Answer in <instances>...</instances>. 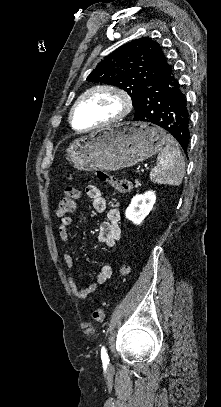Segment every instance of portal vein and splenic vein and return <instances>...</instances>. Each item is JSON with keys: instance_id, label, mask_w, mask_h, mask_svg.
I'll return each instance as SVG.
<instances>
[{"instance_id": "1", "label": "portal vein and splenic vein", "mask_w": 221, "mask_h": 407, "mask_svg": "<svg viewBox=\"0 0 221 407\" xmlns=\"http://www.w3.org/2000/svg\"><path fill=\"white\" fill-rule=\"evenodd\" d=\"M148 169H149V167L146 166L144 169H141V172H145V171L148 170Z\"/></svg>"}]
</instances>
